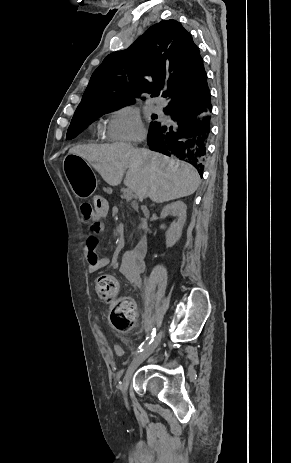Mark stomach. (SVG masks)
Returning a JSON list of instances; mask_svg holds the SVG:
<instances>
[{
    "label": "stomach",
    "instance_id": "0dacf381",
    "mask_svg": "<svg viewBox=\"0 0 291 463\" xmlns=\"http://www.w3.org/2000/svg\"><path fill=\"white\" fill-rule=\"evenodd\" d=\"M64 171L76 197L84 199L93 194L96 178L91 166L81 157L70 153L64 160Z\"/></svg>",
    "mask_w": 291,
    "mask_h": 463
}]
</instances>
